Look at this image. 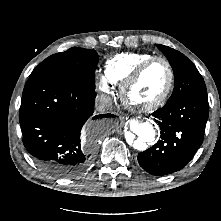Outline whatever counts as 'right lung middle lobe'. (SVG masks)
<instances>
[{"instance_id": "obj_1", "label": "right lung middle lobe", "mask_w": 221, "mask_h": 221, "mask_svg": "<svg viewBox=\"0 0 221 221\" xmlns=\"http://www.w3.org/2000/svg\"><path fill=\"white\" fill-rule=\"evenodd\" d=\"M98 59L95 50L73 47L46 58L34 68L31 75L45 71L73 84L95 89L94 78Z\"/></svg>"}]
</instances>
